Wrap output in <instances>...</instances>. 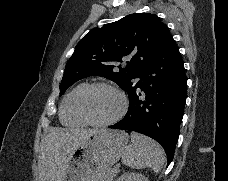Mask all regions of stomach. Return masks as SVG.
<instances>
[{"label": "stomach", "mask_w": 228, "mask_h": 181, "mask_svg": "<svg viewBox=\"0 0 228 181\" xmlns=\"http://www.w3.org/2000/svg\"><path fill=\"white\" fill-rule=\"evenodd\" d=\"M128 141L124 131L104 129L88 135L71 153L62 181H109L111 167L122 157Z\"/></svg>", "instance_id": "obj_1"}]
</instances>
